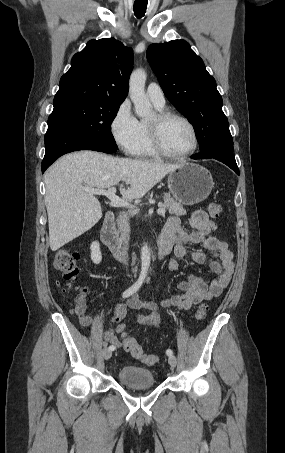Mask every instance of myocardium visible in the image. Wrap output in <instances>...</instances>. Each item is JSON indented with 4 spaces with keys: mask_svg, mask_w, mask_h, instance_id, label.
<instances>
[{
    "mask_svg": "<svg viewBox=\"0 0 285 453\" xmlns=\"http://www.w3.org/2000/svg\"><path fill=\"white\" fill-rule=\"evenodd\" d=\"M170 119H179L183 121L184 123L187 124V126L190 128L192 132L193 145L188 151L184 153L179 154L172 153L164 145L162 137V128L164 124ZM148 131L152 147L154 148L158 155H161L163 157L171 159H184L192 155L197 150L199 145V137L195 125L187 117L174 111L169 110L158 111L154 115V119L152 121H148Z\"/></svg>",
    "mask_w": 285,
    "mask_h": 453,
    "instance_id": "1",
    "label": "myocardium"
}]
</instances>
